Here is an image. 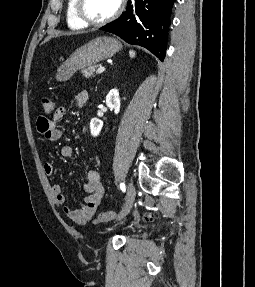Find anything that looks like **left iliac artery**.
Returning <instances> with one entry per match:
<instances>
[{"mask_svg":"<svg viewBox=\"0 0 255 287\" xmlns=\"http://www.w3.org/2000/svg\"><path fill=\"white\" fill-rule=\"evenodd\" d=\"M120 188L123 192H125L126 188H125V184L124 183H121L120 184Z\"/></svg>","mask_w":255,"mask_h":287,"instance_id":"44dca946","label":"left iliac artery"}]
</instances>
